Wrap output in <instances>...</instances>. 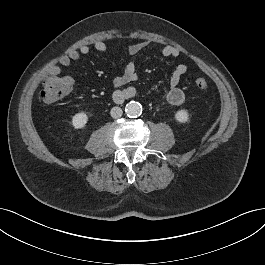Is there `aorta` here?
<instances>
[{
    "mask_svg": "<svg viewBox=\"0 0 265 265\" xmlns=\"http://www.w3.org/2000/svg\"><path fill=\"white\" fill-rule=\"evenodd\" d=\"M125 113L128 117H137L142 113V106L138 102L131 101L125 106Z\"/></svg>",
    "mask_w": 265,
    "mask_h": 265,
    "instance_id": "762f6f07",
    "label": "aorta"
}]
</instances>
